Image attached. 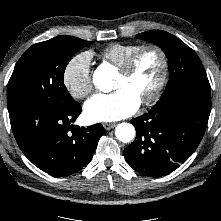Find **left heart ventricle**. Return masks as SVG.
Segmentation results:
<instances>
[{
  "label": "left heart ventricle",
  "instance_id": "left-heart-ventricle-1",
  "mask_svg": "<svg viewBox=\"0 0 221 221\" xmlns=\"http://www.w3.org/2000/svg\"><path fill=\"white\" fill-rule=\"evenodd\" d=\"M160 72V57L154 51H146L140 56L130 75L118 73L114 89L125 88L141 101L156 86Z\"/></svg>",
  "mask_w": 221,
  "mask_h": 221
}]
</instances>
